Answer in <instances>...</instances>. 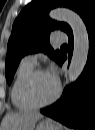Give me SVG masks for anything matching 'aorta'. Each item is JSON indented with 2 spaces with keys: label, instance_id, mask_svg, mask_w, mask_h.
Returning <instances> with one entry per match:
<instances>
[{
  "label": "aorta",
  "instance_id": "1",
  "mask_svg": "<svg viewBox=\"0 0 95 130\" xmlns=\"http://www.w3.org/2000/svg\"><path fill=\"white\" fill-rule=\"evenodd\" d=\"M51 19L66 22L74 38L73 55L68 69V84L75 82L82 74L89 54V36L82 18L67 8H56L49 13Z\"/></svg>",
  "mask_w": 95,
  "mask_h": 130
}]
</instances>
